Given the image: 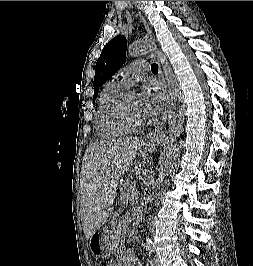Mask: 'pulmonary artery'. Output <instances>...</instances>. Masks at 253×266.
<instances>
[{"label": "pulmonary artery", "mask_w": 253, "mask_h": 266, "mask_svg": "<svg viewBox=\"0 0 253 266\" xmlns=\"http://www.w3.org/2000/svg\"><path fill=\"white\" fill-rule=\"evenodd\" d=\"M147 70L148 66L146 62L140 60L135 61L121 69L117 73L116 79L126 87H129L142 79L146 75Z\"/></svg>", "instance_id": "e3ab8cb5"}]
</instances>
